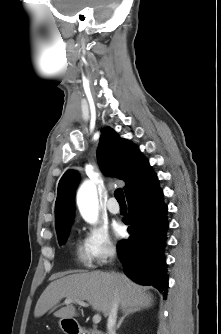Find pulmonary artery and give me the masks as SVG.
<instances>
[{
  "label": "pulmonary artery",
  "instance_id": "1",
  "mask_svg": "<svg viewBox=\"0 0 221 334\" xmlns=\"http://www.w3.org/2000/svg\"><path fill=\"white\" fill-rule=\"evenodd\" d=\"M107 209L112 214H118L120 212V206L117 204L115 198H110L107 202Z\"/></svg>",
  "mask_w": 221,
  "mask_h": 334
}]
</instances>
